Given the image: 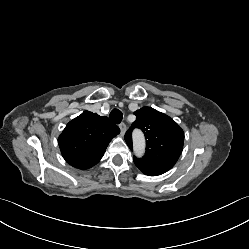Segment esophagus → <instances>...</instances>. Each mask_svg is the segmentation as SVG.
Returning a JSON list of instances; mask_svg holds the SVG:
<instances>
[{"label": "esophagus", "instance_id": "esophagus-1", "mask_svg": "<svg viewBox=\"0 0 249 249\" xmlns=\"http://www.w3.org/2000/svg\"><path fill=\"white\" fill-rule=\"evenodd\" d=\"M119 128H120V131H121V135L124 136V134L126 132V125L124 123H120Z\"/></svg>", "mask_w": 249, "mask_h": 249}]
</instances>
